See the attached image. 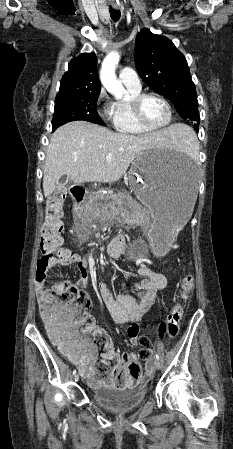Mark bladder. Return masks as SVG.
I'll use <instances>...</instances> for the list:
<instances>
[{
    "instance_id": "1",
    "label": "bladder",
    "mask_w": 233,
    "mask_h": 449,
    "mask_svg": "<svg viewBox=\"0 0 233 449\" xmlns=\"http://www.w3.org/2000/svg\"><path fill=\"white\" fill-rule=\"evenodd\" d=\"M147 398L145 387L115 389L102 387L92 391L94 403L110 412L125 413L141 406Z\"/></svg>"
}]
</instances>
